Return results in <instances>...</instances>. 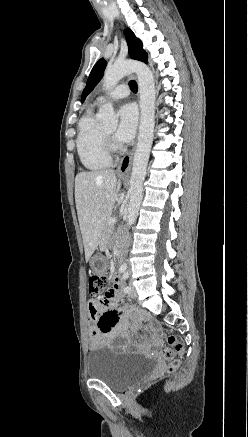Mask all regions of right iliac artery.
<instances>
[{
    "label": "right iliac artery",
    "instance_id": "1",
    "mask_svg": "<svg viewBox=\"0 0 248 437\" xmlns=\"http://www.w3.org/2000/svg\"><path fill=\"white\" fill-rule=\"evenodd\" d=\"M126 268H127L126 264H123V265L120 267V272L123 273V272L126 270Z\"/></svg>",
    "mask_w": 248,
    "mask_h": 437
}]
</instances>
